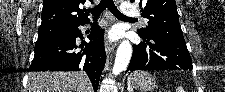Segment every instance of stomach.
<instances>
[{"mask_svg": "<svg viewBox=\"0 0 225 92\" xmlns=\"http://www.w3.org/2000/svg\"><path fill=\"white\" fill-rule=\"evenodd\" d=\"M131 86L143 92L152 91L156 86L154 77L146 71H136L130 76Z\"/></svg>", "mask_w": 225, "mask_h": 92, "instance_id": "obj_1", "label": "stomach"}]
</instances>
